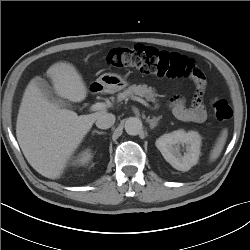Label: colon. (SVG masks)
Wrapping results in <instances>:
<instances>
[{"label": "colon", "mask_w": 250, "mask_h": 250, "mask_svg": "<svg viewBox=\"0 0 250 250\" xmlns=\"http://www.w3.org/2000/svg\"><path fill=\"white\" fill-rule=\"evenodd\" d=\"M106 60L112 67H130L161 77L192 79L197 88L194 100L200 101L203 98L206 87L203 73L191 58L183 54L134 45L112 49ZM212 110L215 118L222 123L228 122L233 115L232 108L225 99L213 100Z\"/></svg>", "instance_id": "1"}]
</instances>
